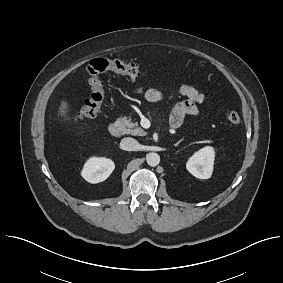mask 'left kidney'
Wrapping results in <instances>:
<instances>
[{
    "label": "left kidney",
    "instance_id": "1",
    "mask_svg": "<svg viewBox=\"0 0 283 283\" xmlns=\"http://www.w3.org/2000/svg\"><path fill=\"white\" fill-rule=\"evenodd\" d=\"M214 158V149L206 146L189 158L186 168L193 176L200 179H208L213 172Z\"/></svg>",
    "mask_w": 283,
    "mask_h": 283
}]
</instances>
